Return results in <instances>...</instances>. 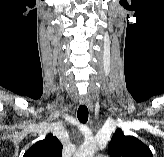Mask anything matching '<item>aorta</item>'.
<instances>
[{
    "mask_svg": "<svg viewBox=\"0 0 164 157\" xmlns=\"http://www.w3.org/2000/svg\"><path fill=\"white\" fill-rule=\"evenodd\" d=\"M97 145L94 142L84 143L76 152L75 157H94Z\"/></svg>",
    "mask_w": 164,
    "mask_h": 157,
    "instance_id": "obj_1",
    "label": "aorta"
}]
</instances>
